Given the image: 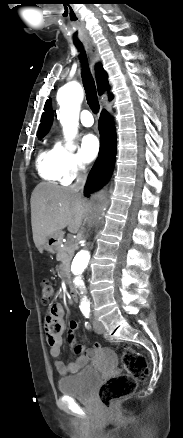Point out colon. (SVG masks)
I'll return each mask as SVG.
<instances>
[{
  "label": "colon",
  "mask_w": 183,
  "mask_h": 438,
  "mask_svg": "<svg viewBox=\"0 0 183 438\" xmlns=\"http://www.w3.org/2000/svg\"><path fill=\"white\" fill-rule=\"evenodd\" d=\"M53 294V284L49 280H43L41 302L45 305L49 304ZM120 356L125 372L105 380L99 390V399L106 408H112L116 402L134 393L138 382L148 376L149 367L146 358L130 345L121 346Z\"/></svg>",
  "instance_id": "1"
}]
</instances>
